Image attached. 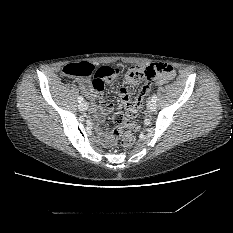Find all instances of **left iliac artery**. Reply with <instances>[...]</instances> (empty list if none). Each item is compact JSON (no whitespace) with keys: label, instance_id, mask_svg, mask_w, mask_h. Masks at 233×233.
I'll return each mask as SVG.
<instances>
[{"label":"left iliac artery","instance_id":"left-iliac-artery-1","mask_svg":"<svg viewBox=\"0 0 233 233\" xmlns=\"http://www.w3.org/2000/svg\"><path fill=\"white\" fill-rule=\"evenodd\" d=\"M157 101V96L156 95H153L152 96V102H156Z\"/></svg>","mask_w":233,"mask_h":233}]
</instances>
